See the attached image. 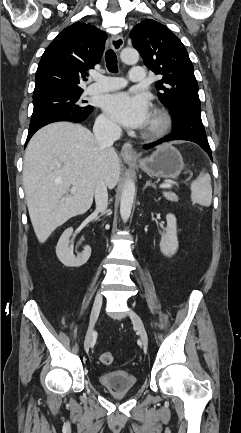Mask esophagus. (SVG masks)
I'll return each mask as SVG.
<instances>
[{
  "label": "esophagus",
  "instance_id": "obj_1",
  "mask_svg": "<svg viewBox=\"0 0 241 433\" xmlns=\"http://www.w3.org/2000/svg\"><path fill=\"white\" fill-rule=\"evenodd\" d=\"M111 48L117 52H119L124 45V39L121 35H115L111 37L110 40ZM121 156L125 160H133L136 159L137 155L133 149V146L130 142L124 143L121 149Z\"/></svg>",
  "mask_w": 241,
  "mask_h": 433
}]
</instances>
